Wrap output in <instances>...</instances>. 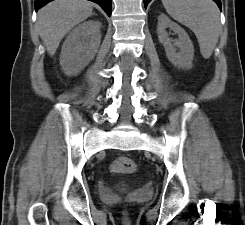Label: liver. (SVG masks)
<instances>
[{
	"instance_id": "liver-1",
	"label": "liver",
	"mask_w": 245,
	"mask_h": 225,
	"mask_svg": "<svg viewBox=\"0 0 245 225\" xmlns=\"http://www.w3.org/2000/svg\"><path fill=\"white\" fill-rule=\"evenodd\" d=\"M92 11V4L85 0H54L39 10L37 26L49 55L55 54L64 36Z\"/></svg>"
}]
</instances>
